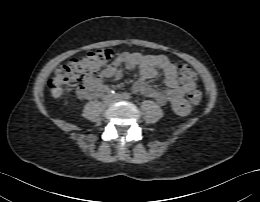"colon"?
Returning <instances> with one entry per match:
<instances>
[{
	"instance_id": "1",
	"label": "colon",
	"mask_w": 260,
	"mask_h": 202,
	"mask_svg": "<svg viewBox=\"0 0 260 202\" xmlns=\"http://www.w3.org/2000/svg\"><path fill=\"white\" fill-rule=\"evenodd\" d=\"M112 58L109 49H100L89 53L85 57L76 59L69 64L60 67L56 75L51 79V87H78L85 83L95 73L102 70ZM179 75L183 82H193L196 73L188 65L179 66ZM201 92L193 90L189 94V99L193 104H198L201 100Z\"/></svg>"
}]
</instances>
